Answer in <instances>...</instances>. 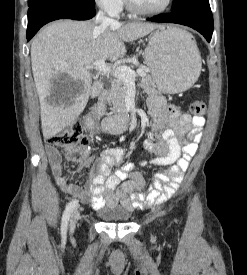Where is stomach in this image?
Wrapping results in <instances>:
<instances>
[{"label":"stomach","mask_w":247,"mask_h":275,"mask_svg":"<svg viewBox=\"0 0 247 275\" xmlns=\"http://www.w3.org/2000/svg\"><path fill=\"white\" fill-rule=\"evenodd\" d=\"M185 31L165 26L150 37L145 50V62L158 90L176 94L190 88L201 71V56L195 41Z\"/></svg>","instance_id":"0dacf381"}]
</instances>
